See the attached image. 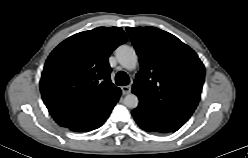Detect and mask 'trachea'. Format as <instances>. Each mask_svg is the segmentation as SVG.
I'll return each mask as SVG.
<instances>
[{
	"mask_svg": "<svg viewBox=\"0 0 248 158\" xmlns=\"http://www.w3.org/2000/svg\"><path fill=\"white\" fill-rule=\"evenodd\" d=\"M116 84L119 86H126L129 83V77L124 71H119L115 77Z\"/></svg>",
	"mask_w": 248,
	"mask_h": 158,
	"instance_id": "obj_1",
	"label": "trachea"
}]
</instances>
